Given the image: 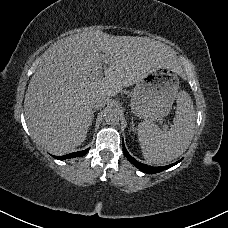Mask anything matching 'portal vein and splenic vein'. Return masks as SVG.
Instances as JSON below:
<instances>
[{
	"label": "portal vein and splenic vein",
	"mask_w": 228,
	"mask_h": 228,
	"mask_svg": "<svg viewBox=\"0 0 228 228\" xmlns=\"http://www.w3.org/2000/svg\"><path fill=\"white\" fill-rule=\"evenodd\" d=\"M103 69H104L103 66H101V67L98 69V71H97V73H96V77H98V78H102V77H103ZM163 129H164V130H167V127H164Z\"/></svg>",
	"instance_id": "1"
}]
</instances>
